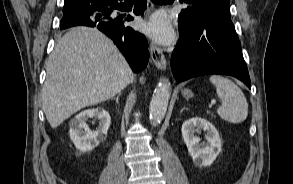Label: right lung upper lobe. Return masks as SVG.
<instances>
[{"label":"right lung upper lobe","mask_w":293,"mask_h":184,"mask_svg":"<svg viewBox=\"0 0 293 184\" xmlns=\"http://www.w3.org/2000/svg\"><path fill=\"white\" fill-rule=\"evenodd\" d=\"M100 0H65L63 14L66 15L70 12L79 10L83 7L89 6L92 3H96Z\"/></svg>","instance_id":"right-lung-upper-lobe-1"}]
</instances>
